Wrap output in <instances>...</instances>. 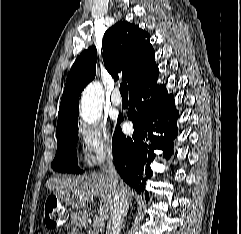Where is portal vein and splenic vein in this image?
I'll use <instances>...</instances> for the list:
<instances>
[{
    "label": "portal vein and splenic vein",
    "instance_id": "obj_1",
    "mask_svg": "<svg viewBox=\"0 0 241 234\" xmlns=\"http://www.w3.org/2000/svg\"><path fill=\"white\" fill-rule=\"evenodd\" d=\"M84 200L85 201H88V197H84ZM104 224V218L102 216H96L94 219H93V227L94 228H99L101 227L102 225Z\"/></svg>",
    "mask_w": 241,
    "mask_h": 234
}]
</instances>
